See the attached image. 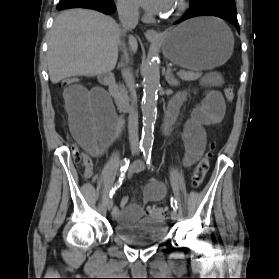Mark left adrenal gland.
Returning a JSON list of instances; mask_svg holds the SVG:
<instances>
[{"instance_id": "obj_1", "label": "left adrenal gland", "mask_w": 279, "mask_h": 279, "mask_svg": "<svg viewBox=\"0 0 279 279\" xmlns=\"http://www.w3.org/2000/svg\"><path fill=\"white\" fill-rule=\"evenodd\" d=\"M165 80L170 86L177 87L179 86V81L172 74V70L170 67L167 68Z\"/></svg>"}]
</instances>
